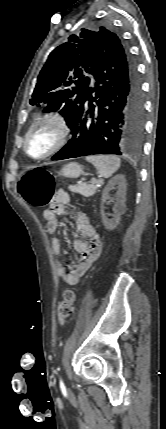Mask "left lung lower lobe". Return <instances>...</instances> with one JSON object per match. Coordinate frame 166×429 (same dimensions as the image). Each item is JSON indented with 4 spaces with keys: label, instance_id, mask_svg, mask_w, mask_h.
Returning <instances> with one entry per match:
<instances>
[{
    "label": "left lung lower lobe",
    "instance_id": "obj_1",
    "mask_svg": "<svg viewBox=\"0 0 166 429\" xmlns=\"http://www.w3.org/2000/svg\"><path fill=\"white\" fill-rule=\"evenodd\" d=\"M91 74L95 87L88 86L85 91L70 127L73 137L52 160L93 154L136 155L140 151L143 93L136 65L117 35L98 44Z\"/></svg>",
    "mask_w": 166,
    "mask_h": 429
}]
</instances>
